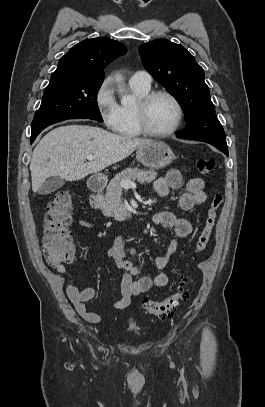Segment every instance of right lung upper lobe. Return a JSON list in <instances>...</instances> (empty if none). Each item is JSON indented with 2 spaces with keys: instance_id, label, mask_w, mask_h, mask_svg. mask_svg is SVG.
I'll use <instances>...</instances> for the list:
<instances>
[{
  "instance_id": "1",
  "label": "right lung upper lobe",
  "mask_w": 265,
  "mask_h": 407,
  "mask_svg": "<svg viewBox=\"0 0 265 407\" xmlns=\"http://www.w3.org/2000/svg\"><path fill=\"white\" fill-rule=\"evenodd\" d=\"M126 51L122 43L110 38L86 39L60 58L52 76L69 75L73 78L103 81L104 68Z\"/></svg>"
}]
</instances>
